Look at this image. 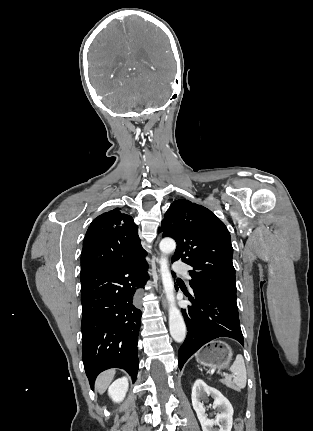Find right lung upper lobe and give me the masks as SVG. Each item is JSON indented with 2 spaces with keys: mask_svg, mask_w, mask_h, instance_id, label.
Segmentation results:
<instances>
[{
  "mask_svg": "<svg viewBox=\"0 0 313 431\" xmlns=\"http://www.w3.org/2000/svg\"><path fill=\"white\" fill-rule=\"evenodd\" d=\"M144 255L132 217L115 208L90 224L81 253V272L122 265Z\"/></svg>",
  "mask_w": 313,
  "mask_h": 431,
  "instance_id": "obj_1",
  "label": "right lung upper lobe"
}]
</instances>
